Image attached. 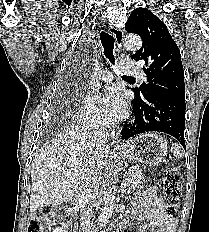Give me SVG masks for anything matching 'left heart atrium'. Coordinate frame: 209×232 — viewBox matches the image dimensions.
<instances>
[{
  "mask_svg": "<svg viewBox=\"0 0 209 232\" xmlns=\"http://www.w3.org/2000/svg\"><path fill=\"white\" fill-rule=\"evenodd\" d=\"M98 103L108 119H116L124 115V102L114 86L106 87L99 93Z\"/></svg>",
  "mask_w": 209,
  "mask_h": 232,
  "instance_id": "obj_1",
  "label": "left heart atrium"
}]
</instances>
